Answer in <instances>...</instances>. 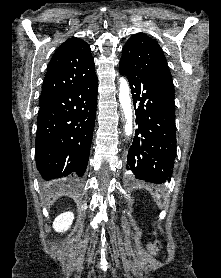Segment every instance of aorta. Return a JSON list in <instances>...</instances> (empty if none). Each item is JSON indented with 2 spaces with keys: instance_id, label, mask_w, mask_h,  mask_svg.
Returning a JSON list of instances; mask_svg holds the SVG:
<instances>
[{
  "instance_id": "obj_1",
  "label": "aorta",
  "mask_w": 221,
  "mask_h": 278,
  "mask_svg": "<svg viewBox=\"0 0 221 278\" xmlns=\"http://www.w3.org/2000/svg\"><path fill=\"white\" fill-rule=\"evenodd\" d=\"M119 101L121 108L126 119V124L124 127V132L126 136H131L132 134V105L130 97V88L128 82L125 78H120L119 80Z\"/></svg>"
}]
</instances>
